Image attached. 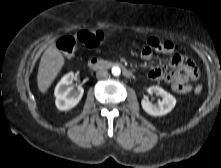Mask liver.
I'll list each match as a JSON object with an SVG mask.
<instances>
[{"mask_svg":"<svg viewBox=\"0 0 221 168\" xmlns=\"http://www.w3.org/2000/svg\"><path fill=\"white\" fill-rule=\"evenodd\" d=\"M64 63L65 59L55 45H50L45 50L37 74V84L41 93L45 94L47 92Z\"/></svg>","mask_w":221,"mask_h":168,"instance_id":"1","label":"liver"}]
</instances>
